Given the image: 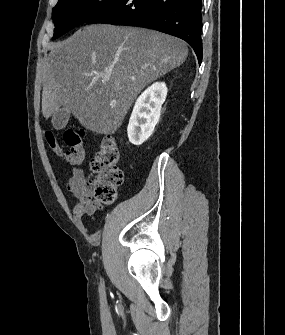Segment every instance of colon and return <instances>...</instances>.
<instances>
[{
	"instance_id": "5ec220e1",
	"label": "colon",
	"mask_w": 285,
	"mask_h": 335,
	"mask_svg": "<svg viewBox=\"0 0 285 335\" xmlns=\"http://www.w3.org/2000/svg\"><path fill=\"white\" fill-rule=\"evenodd\" d=\"M84 130L68 129L63 140L68 149H63L52 131L45 132L50 149L69 164L80 165L85 157L83 146ZM120 149L112 137H105L90 163L91 176L88 180L92 195L100 203H113L123 182V172L119 168Z\"/></svg>"
}]
</instances>
